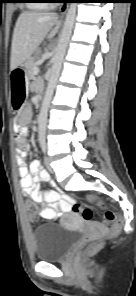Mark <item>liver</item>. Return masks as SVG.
Wrapping results in <instances>:
<instances>
[{
	"mask_svg": "<svg viewBox=\"0 0 136 296\" xmlns=\"http://www.w3.org/2000/svg\"><path fill=\"white\" fill-rule=\"evenodd\" d=\"M59 27L60 21L55 13L22 12L17 19L13 32L11 70L27 61L45 38L54 37Z\"/></svg>",
	"mask_w": 136,
	"mask_h": 296,
	"instance_id": "6515ba94",
	"label": "liver"
}]
</instances>
